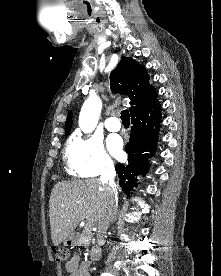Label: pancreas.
I'll list each match as a JSON object with an SVG mask.
<instances>
[{"label":"pancreas","instance_id":"pancreas-1","mask_svg":"<svg viewBox=\"0 0 221 276\" xmlns=\"http://www.w3.org/2000/svg\"><path fill=\"white\" fill-rule=\"evenodd\" d=\"M95 243V239L93 238V234L91 232V229L89 227H85V229L82 231L79 239H78V245L89 247L91 244Z\"/></svg>","mask_w":221,"mask_h":276}]
</instances>
